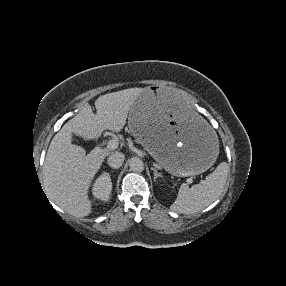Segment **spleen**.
<instances>
[{"instance_id":"spleen-1","label":"spleen","mask_w":286,"mask_h":286,"mask_svg":"<svg viewBox=\"0 0 286 286\" xmlns=\"http://www.w3.org/2000/svg\"><path fill=\"white\" fill-rule=\"evenodd\" d=\"M228 171V164L222 162L201 183L191 187L186 183L181 184L178 196L170 209L181 214H192L205 209L221 195Z\"/></svg>"}]
</instances>
